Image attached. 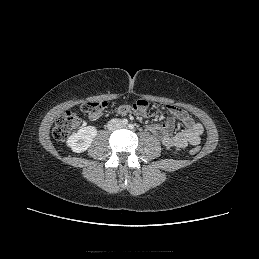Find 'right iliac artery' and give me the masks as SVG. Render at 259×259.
<instances>
[{"mask_svg":"<svg viewBox=\"0 0 259 259\" xmlns=\"http://www.w3.org/2000/svg\"><path fill=\"white\" fill-rule=\"evenodd\" d=\"M122 124H123V125H127V124H128V120H127V119H123V120H122Z\"/></svg>","mask_w":259,"mask_h":259,"instance_id":"1","label":"right iliac artery"}]
</instances>
